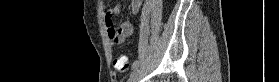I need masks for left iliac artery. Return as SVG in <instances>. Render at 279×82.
<instances>
[{
	"mask_svg": "<svg viewBox=\"0 0 279 82\" xmlns=\"http://www.w3.org/2000/svg\"><path fill=\"white\" fill-rule=\"evenodd\" d=\"M138 65H139V62L138 61H134L132 63V69H136L138 67Z\"/></svg>",
	"mask_w": 279,
	"mask_h": 82,
	"instance_id": "left-iliac-artery-1",
	"label": "left iliac artery"
}]
</instances>
